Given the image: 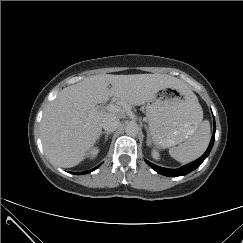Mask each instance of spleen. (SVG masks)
<instances>
[{
  "instance_id": "3e777b00",
  "label": "spleen",
  "mask_w": 243,
  "mask_h": 243,
  "mask_svg": "<svg viewBox=\"0 0 243 243\" xmlns=\"http://www.w3.org/2000/svg\"><path fill=\"white\" fill-rule=\"evenodd\" d=\"M197 106L199 111L198 129L185 142L169 150V154L181 163H189L199 158L207 149L210 141V123L208 120L202 121V108L200 104Z\"/></svg>"
}]
</instances>
